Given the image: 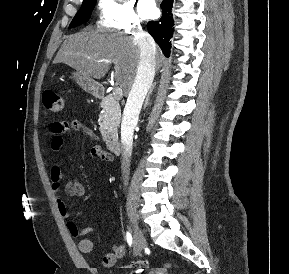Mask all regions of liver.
<instances>
[{
  "instance_id": "1",
  "label": "liver",
  "mask_w": 289,
  "mask_h": 274,
  "mask_svg": "<svg viewBox=\"0 0 289 274\" xmlns=\"http://www.w3.org/2000/svg\"><path fill=\"white\" fill-rule=\"evenodd\" d=\"M139 59V47L133 37L121 33L84 30L65 39L53 63H65L95 79L103 78L113 63L114 78L124 94H128L136 77ZM164 61L162 52L156 47V71Z\"/></svg>"
}]
</instances>
